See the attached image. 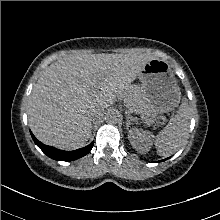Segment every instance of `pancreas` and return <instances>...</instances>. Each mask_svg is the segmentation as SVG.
Wrapping results in <instances>:
<instances>
[{"mask_svg":"<svg viewBox=\"0 0 220 220\" xmlns=\"http://www.w3.org/2000/svg\"><path fill=\"white\" fill-rule=\"evenodd\" d=\"M140 94V88L137 85L129 87L127 92L122 96L127 108L134 110V108L138 105Z\"/></svg>","mask_w":220,"mask_h":220,"instance_id":"1","label":"pancreas"}]
</instances>
